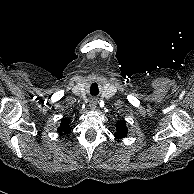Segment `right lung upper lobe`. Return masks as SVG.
<instances>
[{
    "label": "right lung upper lobe",
    "instance_id": "1",
    "mask_svg": "<svg viewBox=\"0 0 194 194\" xmlns=\"http://www.w3.org/2000/svg\"><path fill=\"white\" fill-rule=\"evenodd\" d=\"M69 120L63 119L61 122L60 127L58 128V132L60 133V135H66L68 133H70L71 131V127L69 126Z\"/></svg>",
    "mask_w": 194,
    "mask_h": 194
}]
</instances>
